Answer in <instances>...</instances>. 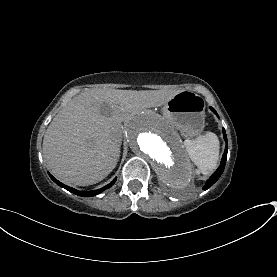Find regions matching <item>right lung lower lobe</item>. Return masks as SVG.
I'll return each mask as SVG.
<instances>
[{
  "label": "right lung lower lobe",
  "mask_w": 277,
  "mask_h": 277,
  "mask_svg": "<svg viewBox=\"0 0 277 277\" xmlns=\"http://www.w3.org/2000/svg\"><path fill=\"white\" fill-rule=\"evenodd\" d=\"M50 175V174H49ZM51 179L59 186L65 188L66 190L78 195V196H84V197H91V196H95L97 194H100L101 192H103L106 188H109L111 187L115 181H116V178L107 186L103 187V188H100L98 190H93V191H89V192H83V191H78L74 188H71L69 186H66L64 184H62L61 182H59L58 180H56L52 175H50Z\"/></svg>",
  "instance_id": "obj_1"
}]
</instances>
